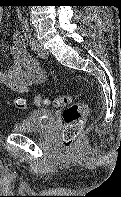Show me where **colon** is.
I'll use <instances>...</instances> for the list:
<instances>
[{"instance_id":"colon-1","label":"colon","mask_w":121,"mask_h":197,"mask_svg":"<svg viewBox=\"0 0 121 197\" xmlns=\"http://www.w3.org/2000/svg\"><path fill=\"white\" fill-rule=\"evenodd\" d=\"M15 106L19 109H26L28 103L22 98L14 100ZM35 106L50 105L53 107H64L62 117L64 128L62 131V143L66 150L73 148L76 140L82 132L85 113L87 110L86 103H72V96L63 95L56 99H48L41 95H37L34 99Z\"/></svg>"}]
</instances>
